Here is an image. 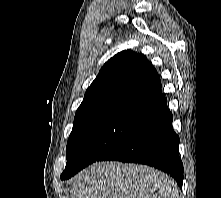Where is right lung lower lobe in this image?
<instances>
[{
    "label": "right lung lower lobe",
    "instance_id": "1",
    "mask_svg": "<svg viewBox=\"0 0 221 198\" xmlns=\"http://www.w3.org/2000/svg\"><path fill=\"white\" fill-rule=\"evenodd\" d=\"M167 104V103H166ZM147 117L138 128L98 161H122L152 166L183 183L179 137L172 128L173 116L167 105Z\"/></svg>",
    "mask_w": 221,
    "mask_h": 198
}]
</instances>
